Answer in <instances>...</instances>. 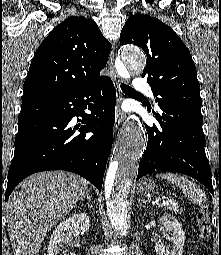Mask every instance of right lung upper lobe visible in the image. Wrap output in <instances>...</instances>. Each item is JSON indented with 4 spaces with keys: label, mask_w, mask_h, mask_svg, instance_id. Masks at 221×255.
Listing matches in <instances>:
<instances>
[{
    "label": "right lung upper lobe",
    "mask_w": 221,
    "mask_h": 255,
    "mask_svg": "<svg viewBox=\"0 0 221 255\" xmlns=\"http://www.w3.org/2000/svg\"><path fill=\"white\" fill-rule=\"evenodd\" d=\"M111 45L97 24L83 16L60 23L37 49L23 87L22 103L65 94L105 76Z\"/></svg>",
    "instance_id": "cb5924a9"
}]
</instances>
